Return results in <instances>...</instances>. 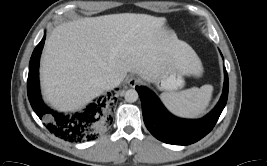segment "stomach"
<instances>
[{"label":"stomach","mask_w":267,"mask_h":166,"mask_svg":"<svg viewBox=\"0 0 267 166\" xmlns=\"http://www.w3.org/2000/svg\"><path fill=\"white\" fill-rule=\"evenodd\" d=\"M153 80L160 89L166 91H174L184 86L183 74L173 59H170L169 64Z\"/></svg>","instance_id":"1"}]
</instances>
